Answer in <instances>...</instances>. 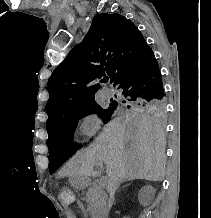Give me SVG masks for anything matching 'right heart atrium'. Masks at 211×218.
<instances>
[{
	"instance_id": "right-heart-atrium-1",
	"label": "right heart atrium",
	"mask_w": 211,
	"mask_h": 218,
	"mask_svg": "<svg viewBox=\"0 0 211 218\" xmlns=\"http://www.w3.org/2000/svg\"><path fill=\"white\" fill-rule=\"evenodd\" d=\"M100 124V118L96 113H86L76 123L77 133L83 138H89L97 132Z\"/></svg>"
}]
</instances>
